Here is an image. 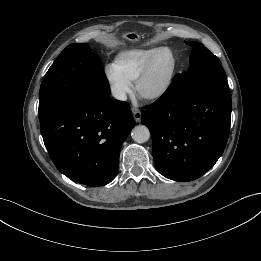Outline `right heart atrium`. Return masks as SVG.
I'll return each instance as SVG.
<instances>
[{"instance_id": "obj_1", "label": "right heart atrium", "mask_w": 261, "mask_h": 261, "mask_svg": "<svg viewBox=\"0 0 261 261\" xmlns=\"http://www.w3.org/2000/svg\"><path fill=\"white\" fill-rule=\"evenodd\" d=\"M104 74L111 93L118 100H125L132 91V84L115 68L114 64L105 66Z\"/></svg>"}]
</instances>
